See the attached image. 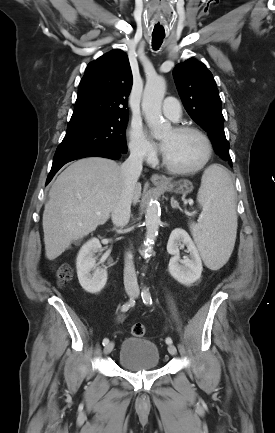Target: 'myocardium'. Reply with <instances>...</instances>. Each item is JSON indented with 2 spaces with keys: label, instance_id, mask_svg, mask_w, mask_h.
<instances>
[{
  "label": "myocardium",
  "instance_id": "myocardium-1",
  "mask_svg": "<svg viewBox=\"0 0 275 433\" xmlns=\"http://www.w3.org/2000/svg\"><path fill=\"white\" fill-rule=\"evenodd\" d=\"M173 130L177 133H194L197 134L198 136H200L202 138V140L205 143L206 146V154L204 159L195 167H191V168H180V167H176L174 165H172L169 160L167 159V157L165 156V154H163L162 157V162L163 165L172 173L174 174H179V175H190V174H195L198 173L199 171H201L203 168L206 167V165L209 163V161L212 158L213 155V144L212 141L210 139V137L208 136V134L203 131L202 129L196 127V126H190V125H178L175 126L173 128Z\"/></svg>",
  "mask_w": 275,
  "mask_h": 433
}]
</instances>
